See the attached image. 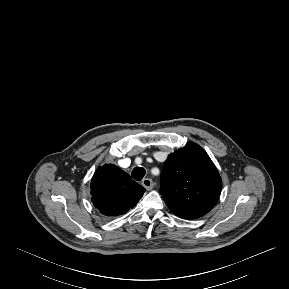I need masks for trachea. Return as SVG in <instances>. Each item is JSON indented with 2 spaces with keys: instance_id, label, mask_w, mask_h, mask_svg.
Instances as JSON below:
<instances>
[{
  "instance_id": "1",
  "label": "trachea",
  "mask_w": 289,
  "mask_h": 289,
  "mask_svg": "<svg viewBox=\"0 0 289 289\" xmlns=\"http://www.w3.org/2000/svg\"><path fill=\"white\" fill-rule=\"evenodd\" d=\"M131 175L136 181H140L145 175V169L143 167H135Z\"/></svg>"
}]
</instances>
